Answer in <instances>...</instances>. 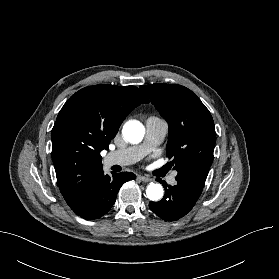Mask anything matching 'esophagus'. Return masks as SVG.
Segmentation results:
<instances>
[{
	"mask_svg": "<svg viewBox=\"0 0 279 279\" xmlns=\"http://www.w3.org/2000/svg\"><path fill=\"white\" fill-rule=\"evenodd\" d=\"M138 178H139V180H141L143 182H150V181H152L151 178L146 177V176H139Z\"/></svg>",
	"mask_w": 279,
	"mask_h": 279,
	"instance_id": "1",
	"label": "esophagus"
}]
</instances>
